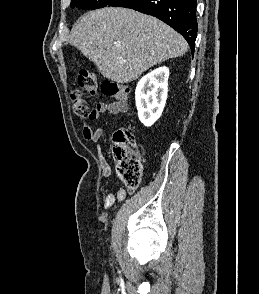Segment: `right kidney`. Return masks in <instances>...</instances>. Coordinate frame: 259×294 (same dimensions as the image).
<instances>
[{
	"label": "right kidney",
	"instance_id": "obj_1",
	"mask_svg": "<svg viewBox=\"0 0 259 294\" xmlns=\"http://www.w3.org/2000/svg\"><path fill=\"white\" fill-rule=\"evenodd\" d=\"M168 67H159L143 76L135 90L136 107L141 123L149 127L161 116L168 94Z\"/></svg>",
	"mask_w": 259,
	"mask_h": 294
}]
</instances>
